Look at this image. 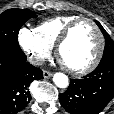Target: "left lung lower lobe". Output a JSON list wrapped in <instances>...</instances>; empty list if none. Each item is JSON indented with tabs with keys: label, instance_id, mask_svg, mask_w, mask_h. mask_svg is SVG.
<instances>
[{
	"label": "left lung lower lobe",
	"instance_id": "obj_1",
	"mask_svg": "<svg viewBox=\"0 0 114 114\" xmlns=\"http://www.w3.org/2000/svg\"><path fill=\"white\" fill-rule=\"evenodd\" d=\"M114 96V62L99 64L83 79H70L61 105L71 114H98Z\"/></svg>",
	"mask_w": 114,
	"mask_h": 114
}]
</instances>
